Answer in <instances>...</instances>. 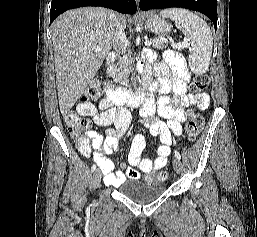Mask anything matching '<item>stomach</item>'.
I'll list each match as a JSON object with an SVG mask.
<instances>
[{"instance_id":"0dacf381","label":"stomach","mask_w":257,"mask_h":237,"mask_svg":"<svg viewBox=\"0 0 257 237\" xmlns=\"http://www.w3.org/2000/svg\"><path fill=\"white\" fill-rule=\"evenodd\" d=\"M144 20L147 28L156 35L166 36L171 31L170 24L158 15L146 13Z\"/></svg>"}]
</instances>
